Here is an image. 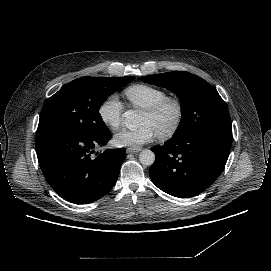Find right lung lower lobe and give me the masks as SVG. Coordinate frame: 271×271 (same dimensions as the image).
I'll return each instance as SVG.
<instances>
[{
  "label": "right lung lower lobe",
  "mask_w": 271,
  "mask_h": 271,
  "mask_svg": "<svg viewBox=\"0 0 271 271\" xmlns=\"http://www.w3.org/2000/svg\"><path fill=\"white\" fill-rule=\"evenodd\" d=\"M110 139L108 129L94 135L65 130L37 134V157L48 184L72 203L86 204L105 196L115 185L126 157L122 148L92 155L95 147Z\"/></svg>",
  "instance_id": "obj_1"
}]
</instances>
